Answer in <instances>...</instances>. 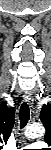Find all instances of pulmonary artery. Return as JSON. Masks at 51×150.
Listing matches in <instances>:
<instances>
[{"label":"pulmonary artery","instance_id":"1","mask_svg":"<svg viewBox=\"0 0 51 150\" xmlns=\"http://www.w3.org/2000/svg\"><path fill=\"white\" fill-rule=\"evenodd\" d=\"M45 146V143L43 142H35L34 144H31V145H28L26 146L27 149H32V148H41V147H44ZM19 150H22V149H19Z\"/></svg>","mask_w":51,"mask_h":150}]
</instances>
